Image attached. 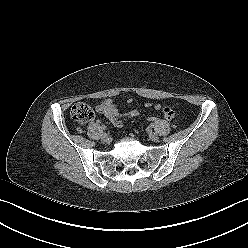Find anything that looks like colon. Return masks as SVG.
Returning <instances> with one entry per match:
<instances>
[{
    "label": "colon",
    "instance_id": "5ec220e1",
    "mask_svg": "<svg viewBox=\"0 0 248 248\" xmlns=\"http://www.w3.org/2000/svg\"><path fill=\"white\" fill-rule=\"evenodd\" d=\"M71 117L77 123L83 125L90 122L94 118V112L92 107L84 102L75 103L70 110ZM149 122H156L159 117L151 115L147 118Z\"/></svg>",
    "mask_w": 248,
    "mask_h": 248
}]
</instances>
